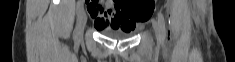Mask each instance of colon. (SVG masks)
I'll return each mask as SVG.
<instances>
[{"instance_id":"obj_1","label":"colon","mask_w":235,"mask_h":62,"mask_svg":"<svg viewBox=\"0 0 235 62\" xmlns=\"http://www.w3.org/2000/svg\"><path fill=\"white\" fill-rule=\"evenodd\" d=\"M124 13L131 17L135 22L143 23L150 17L154 0H132L121 3Z\"/></svg>"}]
</instances>
